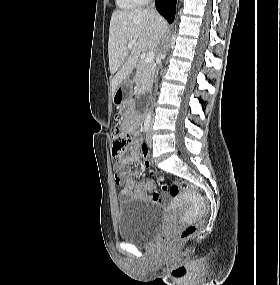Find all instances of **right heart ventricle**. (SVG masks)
I'll return each instance as SVG.
<instances>
[{
	"mask_svg": "<svg viewBox=\"0 0 280 285\" xmlns=\"http://www.w3.org/2000/svg\"><path fill=\"white\" fill-rule=\"evenodd\" d=\"M147 0H116L117 5L123 10H132L145 4Z\"/></svg>",
	"mask_w": 280,
	"mask_h": 285,
	"instance_id": "1",
	"label": "right heart ventricle"
}]
</instances>
